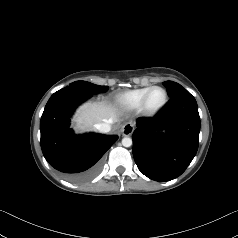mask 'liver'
I'll return each mask as SVG.
<instances>
[{
  "label": "liver",
  "instance_id": "liver-1",
  "mask_svg": "<svg viewBox=\"0 0 238 238\" xmlns=\"http://www.w3.org/2000/svg\"><path fill=\"white\" fill-rule=\"evenodd\" d=\"M118 109L104 102H87L81 105L73 118L76 123L75 130L79 132L90 131L96 124L118 121Z\"/></svg>",
  "mask_w": 238,
  "mask_h": 238
}]
</instances>
